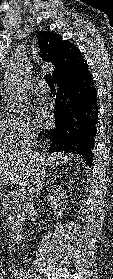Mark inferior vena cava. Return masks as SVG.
I'll return each instance as SVG.
<instances>
[{
  "mask_svg": "<svg viewBox=\"0 0 113 279\" xmlns=\"http://www.w3.org/2000/svg\"><path fill=\"white\" fill-rule=\"evenodd\" d=\"M36 145L35 140V132L34 129L31 127H27L22 134L20 140L16 144V149L21 151L23 155H33L32 149ZM35 185H37V174L35 172H29L28 180L26 184V213L28 214L29 218L33 212V195L35 192Z\"/></svg>",
  "mask_w": 113,
  "mask_h": 279,
  "instance_id": "602c4592",
  "label": "inferior vena cava"
}]
</instances>
